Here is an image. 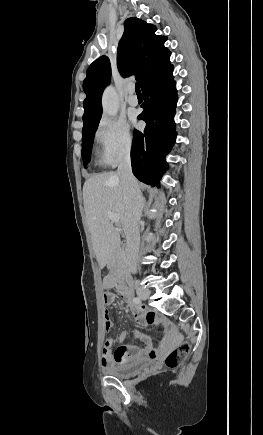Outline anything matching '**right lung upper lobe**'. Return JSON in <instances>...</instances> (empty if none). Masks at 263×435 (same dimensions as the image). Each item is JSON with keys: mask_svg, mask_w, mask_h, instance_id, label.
Here are the masks:
<instances>
[{"mask_svg": "<svg viewBox=\"0 0 263 435\" xmlns=\"http://www.w3.org/2000/svg\"><path fill=\"white\" fill-rule=\"evenodd\" d=\"M156 27L138 18L125 21L123 36L117 49V66L123 77L135 75L141 89L162 73L171 64L170 51L164 47L165 36L155 35ZM111 67L108 57L101 56L95 60L86 72L83 90L84 100L83 129L99 122L101 96L110 83Z\"/></svg>", "mask_w": 263, "mask_h": 435, "instance_id": "obj_1", "label": "right lung upper lobe"}]
</instances>
